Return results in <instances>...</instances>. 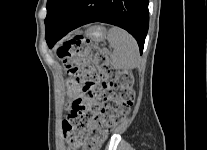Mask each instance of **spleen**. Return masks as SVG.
<instances>
[{
    "instance_id": "spleen-1",
    "label": "spleen",
    "mask_w": 207,
    "mask_h": 150,
    "mask_svg": "<svg viewBox=\"0 0 207 150\" xmlns=\"http://www.w3.org/2000/svg\"><path fill=\"white\" fill-rule=\"evenodd\" d=\"M108 42L113 49L111 63L114 68L132 70L139 63L136 40L122 28L113 26L108 32Z\"/></svg>"
}]
</instances>
